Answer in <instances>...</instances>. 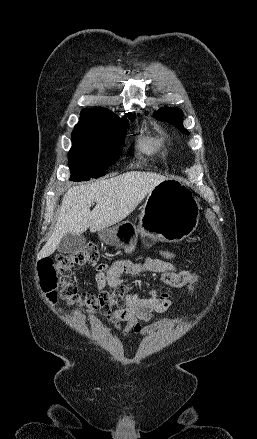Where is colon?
I'll return each mask as SVG.
<instances>
[{
  "label": "colon",
  "instance_id": "colon-1",
  "mask_svg": "<svg viewBox=\"0 0 257 439\" xmlns=\"http://www.w3.org/2000/svg\"><path fill=\"white\" fill-rule=\"evenodd\" d=\"M98 249L89 244L82 249L68 254H59L54 258L44 259L37 266L40 286L51 303L57 300L79 308H87L108 313L114 306H125L129 295L128 286H119L102 290L100 292H79L72 271L76 266L93 263L98 258ZM160 280L170 287H182L198 282V275L194 272L183 270L174 273H161Z\"/></svg>",
  "mask_w": 257,
  "mask_h": 439
}]
</instances>
